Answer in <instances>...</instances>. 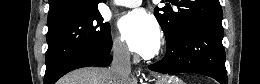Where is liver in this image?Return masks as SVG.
Returning <instances> with one entry per match:
<instances>
[{
  "mask_svg": "<svg viewBox=\"0 0 260 84\" xmlns=\"http://www.w3.org/2000/svg\"><path fill=\"white\" fill-rule=\"evenodd\" d=\"M58 84H118L110 68L85 67L65 75ZM123 84H133L128 79Z\"/></svg>",
  "mask_w": 260,
  "mask_h": 84,
  "instance_id": "obj_1",
  "label": "liver"
}]
</instances>
